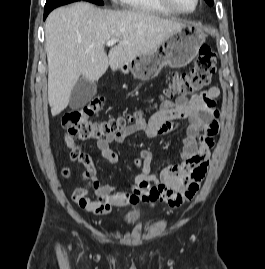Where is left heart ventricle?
<instances>
[{
	"mask_svg": "<svg viewBox=\"0 0 265 269\" xmlns=\"http://www.w3.org/2000/svg\"><path fill=\"white\" fill-rule=\"evenodd\" d=\"M172 3L183 10H191L195 5V0H171Z\"/></svg>",
	"mask_w": 265,
	"mask_h": 269,
	"instance_id": "b2bd125f",
	"label": "left heart ventricle"
}]
</instances>
